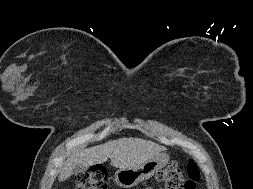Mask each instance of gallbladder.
Returning <instances> with one entry per match:
<instances>
[{
  "label": "gallbladder",
  "mask_w": 253,
  "mask_h": 189,
  "mask_svg": "<svg viewBox=\"0 0 253 189\" xmlns=\"http://www.w3.org/2000/svg\"><path fill=\"white\" fill-rule=\"evenodd\" d=\"M86 169H87V167L78 164V165H76V166L74 167V169H73V174H74V175H77V174H79V173H83V172L86 171Z\"/></svg>",
  "instance_id": "gallbladder-1"
}]
</instances>
